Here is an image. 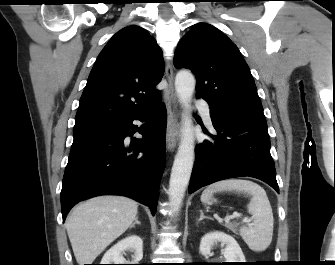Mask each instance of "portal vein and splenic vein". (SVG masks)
I'll return each instance as SVG.
<instances>
[{"label": "portal vein and splenic vein", "mask_w": 335, "mask_h": 265, "mask_svg": "<svg viewBox=\"0 0 335 265\" xmlns=\"http://www.w3.org/2000/svg\"><path fill=\"white\" fill-rule=\"evenodd\" d=\"M238 216H239L238 214H233L231 216H228V217L225 218V222H229L230 219H233V218L238 217ZM243 222L247 223V224H250L251 220L248 219V218H244Z\"/></svg>", "instance_id": "1"}]
</instances>
